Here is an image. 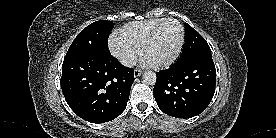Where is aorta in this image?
I'll use <instances>...</instances> for the list:
<instances>
[{
  "mask_svg": "<svg viewBox=\"0 0 276 138\" xmlns=\"http://www.w3.org/2000/svg\"><path fill=\"white\" fill-rule=\"evenodd\" d=\"M142 78H143V82L147 85H154L157 80L156 74L152 71L144 72Z\"/></svg>",
  "mask_w": 276,
  "mask_h": 138,
  "instance_id": "aorta-1",
  "label": "aorta"
}]
</instances>
